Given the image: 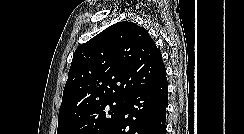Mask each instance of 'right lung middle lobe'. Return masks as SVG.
Returning a JSON list of instances; mask_svg holds the SVG:
<instances>
[{
	"instance_id": "1",
	"label": "right lung middle lobe",
	"mask_w": 244,
	"mask_h": 134,
	"mask_svg": "<svg viewBox=\"0 0 244 134\" xmlns=\"http://www.w3.org/2000/svg\"><path fill=\"white\" fill-rule=\"evenodd\" d=\"M125 100L111 99L58 120L57 134H104L119 117Z\"/></svg>"
}]
</instances>
